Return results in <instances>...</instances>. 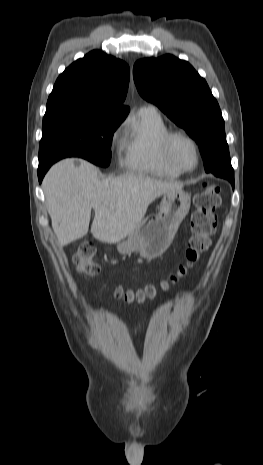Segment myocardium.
<instances>
[{
    "instance_id": "myocardium-1",
    "label": "myocardium",
    "mask_w": 263,
    "mask_h": 465,
    "mask_svg": "<svg viewBox=\"0 0 263 465\" xmlns=\"http://www.w3.org/2000/svg\"><path fill=\"white\" fill-rule=\"evenodd\" d=\"M182 138L187 140L193 147L194 152H195V164L191 168H184L180 166L176 160L173 157V143L176 139ZM161 149H162V155L165 160V162L174 170L180 172V173H189L194 171L200 162V149L199 145L196 142V140L190 136L189 134L183 132V131H169L163 138L162 144H161Z\"/></svg>"
}]
</instances>
